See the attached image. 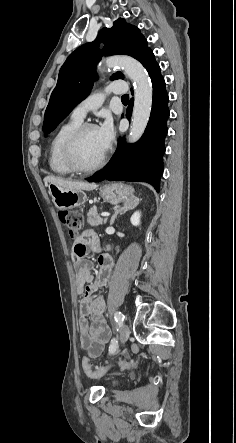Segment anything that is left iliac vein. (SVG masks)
<instances>
[{
    "label": "left iliac vein",
    "mask_w": 236,
    "mask_h": 443,
    "mask_svg": "<svg viewBox=\"0 0 236 443\" xmlns=\"http://www.w3.org/2000/svg\"><path fill=\"white\" fill-rule=\"evenodd\" d=\"M129 333L130 332H129L128 326L124 325L120 331V341L122 344H124L127 341L128 337H129Z\"/></svg>",
    "instance_id": "left-iliac-vein-1"
}]
</instances>
